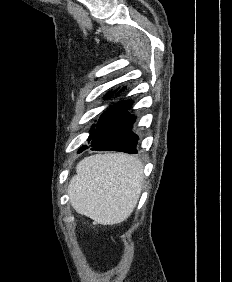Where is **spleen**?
Masks as SVG:
<instances>
[{"label":"spleen","instance_id":"obj_1","mask_svg":"<svg viewBox=\"0 0 232 282\" xmlns=\"http://www.w3.org/2000/svg\"><path fill=\"white\" fill-rule=\"evenodd\" d=\"M141 162L125 154L93 155L76 167L68 186L77 213L102 225L126 220L133 212L142 188Z\"/></svg>","mask_w":232,"mask_h":282}]
</instances>
